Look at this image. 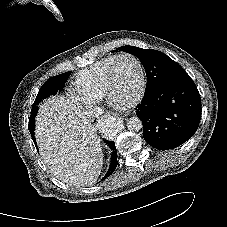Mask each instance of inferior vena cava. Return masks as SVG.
<instances>
[{
    "mask_svg": "<svg viewBox=\"0 0 227 227\" xmlns=\"http://www.w3.org/2000/svg\"><path fill=\"white\" fill-rule=\"evenodd\" d=\"M102 109L97 106H90L87 110H85V114L90 118H98L102 114Z\"/></svg>",
    "mask_w": 227,
    "mask_h": 227,
    "instance_id": "1",
    "label": "inferior vena cava"
}]
</instances>
